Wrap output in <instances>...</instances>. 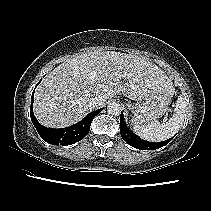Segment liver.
Instances as JSON below:
<instances>
[{
	"mask_svg": "<svg viewBox=\"0 0 211 211\" xmlns=\"http://www.w3.org/2000/svg\"><path fill=\"white\" fill-rule=\"evenodd\" d=\"M171 85L165 72L146 58L115 51L84 53L47 74L35 92L34 113L42 125L64 128L93 108L89 102L96 95L103 105L120 93L146 96Z\"/></svg>",
	"mask_w": 211,
	"mask_h": 211,
	"instance_id": "liver-1",
	"label": "liver"
}]
</instances>
